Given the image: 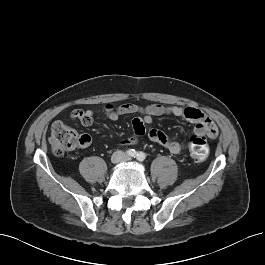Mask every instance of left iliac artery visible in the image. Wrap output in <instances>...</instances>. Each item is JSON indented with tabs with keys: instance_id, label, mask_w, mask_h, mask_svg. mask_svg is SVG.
I'll return each instance as SVG.
<instances>
[{
	"instance_id": "1",
	"label": "left iliac artery",
	"mask_w": 265,
	"mask_h": 265,
	"mask_svg": "<svg viewBox=\"0 0 265 265\" xmlns=\"http://www.w3.org/2000/svg\"><path fill=\"white\" fill-rule=\"evenodd\" d=\"M145 154L143 153V152H139L138 154H137V160H139V161H144L145 160Z\"/></svg>"
}]
</instances>
